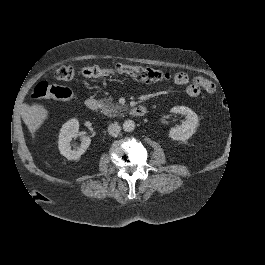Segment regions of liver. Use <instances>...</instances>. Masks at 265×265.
Instances as JSON below:
<instances>
[{
    "instance_id": "1",
    "label": "liver",
    "mask_w": 265,
    "mask_h": 265,
    "mask_svg": "<svg viewBox=\"0 0 265 265\" xmlns=\"http://www.w3.org/2000/svg\"><path fill=\"white\" fill-rule=\"evenodd\" d=\"M22 117L31 133L32 140L35 142L37 133L50 117V111L45 105L32 102L30 105L26 104Z\"/></svg>"
}]
</instances>
